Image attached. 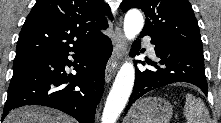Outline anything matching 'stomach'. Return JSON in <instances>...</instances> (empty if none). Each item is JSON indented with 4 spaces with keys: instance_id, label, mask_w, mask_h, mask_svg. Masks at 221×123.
Returning <instances> with one entry per match:
<instances>
[{
    "instance_id": "1",
    "label": "stomach",
    "mask_w": 221,
    "mask_h": 123,
    "mask_svg": "<svg viewBox=\"0 0 221 123\" xmlns=\"http://www.w3.org/2000/svg\"><path fill=\"white\" fill-rule=\"evenodd\" d=\"M173 115L172 105L159 97H146L129 110L126 123H168Z\"/></svg>"
}]
</instances>
